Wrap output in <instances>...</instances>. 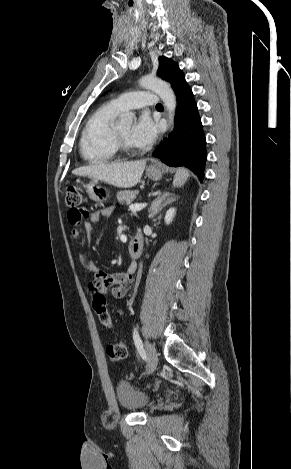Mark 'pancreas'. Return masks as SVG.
Wrapping results in <instances>:
<instances>
[{"label": "pancreas", "mask_w": 291, "mask_h": 469, "mask_svg": "<svg viewBox=\"0 0 291 469\" xmlns=\"http://www.w3.org/2000/svg\"><path fill=\"white\" fill-rule=\"evenodd\" d=\"M138 194V191H130V190H125V191H120L117 193V199L120 203H126V204H131V202L136 198V195Z\"/></svg>", "instance_id": "obj_1"}]
</instances>
